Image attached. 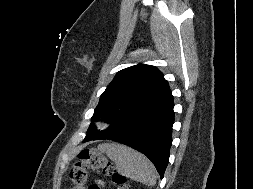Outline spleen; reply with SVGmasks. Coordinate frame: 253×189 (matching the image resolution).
<instances>
[{"label": "spleen", "mask_w": 253, "mask_h": 189, "mask_svg": "<svg viewBox=\"0 0 253 189\" xmlns=\"http://www.w3.org/2000/svg\"><path fill=\"white\" fill-rule=\"evenodd\" d=\"M98 149L115 163L117 171L123 176L150 186L156 184V169L140 152L116 143L100 144Z\"/></svg>", "instance_id": "obj_1"}]
</instances>
